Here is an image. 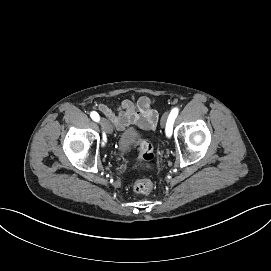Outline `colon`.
Returning a JSON list of instances; mask_svg holds the SVG:
<instances>
[{
  "mask_svg": "<svg viewBox=\"0 0 271 271\" xmlns=\"http://www.w3.org/2000/svg\"><path fill=\"white\" fill-rule=\"evenodd\" d=\"M139 159L142 161H148L153 158L152 144L147 140H142L138 144ZM153 188V182L148 178H142L137 180L133 185V192L139 195L148 194Z\"/></svg>",
  "mask_w": 271,
  "mask_h": 271,
  "instance_id": "colon-1",
  "label": "colon"
}]
</instances>
